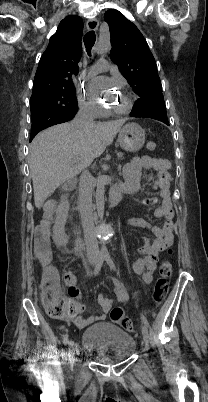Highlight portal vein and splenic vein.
<instances>
[{
  "label": "portal vein and splenic vein",
  "mask_w": 208,
  "mask_h": 402,
  "mask_svg": "<svg viewBox=\"0 0 208 402\" xmlns=\"http://www.w3.org/2000/svg\"><path fill=\"white\" fill-rule=\"evenodd\" d=\"M116 163H119V160H122L123 159V156L120 154V153H117L116 154Z\"/></svg>",
  "instance_id": "18ae733b"
}]
</instances>
